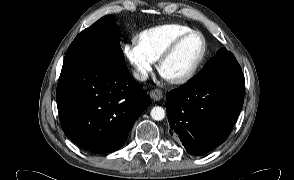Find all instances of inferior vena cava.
Listing matches in <instances>:
<instances>
[{
  "label": "inferior vena cava",
  "instance_id": "602c4592",
  "mask_svg": "<svg viewBox=\"0 0 294 180\" xmlns=\"http://www.w3.org/2000/svg\"><path fill=\"white\" fill-rule=\"evenodd\" d=\"M133 75L139 81H145L148 78V73L146 72V70H142V69L134 70Z\"/></svg>",
  "mask_w": 294,
  "mask_h": 180
}]
</instances>
